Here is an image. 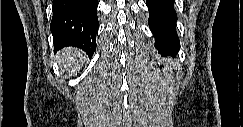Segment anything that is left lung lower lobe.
<instances>
[{
    "label": "left lung lower lobe",
    "instance_id": "0a47b994",
    "mask_svg": "<svg viewBox=\"0 0 243 127\" xmlns=\"http://www.w3.org/2000/svg\"><path fill=\"white\" fill-rule=\"evenodd\" d=\"M146 4L149 9L148 24L155 37L158 52H178L180 41L176 32L174 0H146Z\"/></svg>",
    "mask_w": 243,
    "mask_h": 127
}]
</instances>
